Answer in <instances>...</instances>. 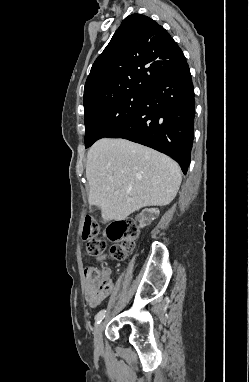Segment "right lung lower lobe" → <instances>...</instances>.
<instances>
[{"label": "right lung lower lobe", "instance_id": "98d812e1", "mask_svg": "<svg viewBox=\"0 0 249 382\" xmlns=\"http://www.w3.org/2000/svg\"><path fill=\"white\" fill-rule=\"evenodd\" d=\"M194 88L187 62L157 81L141 109L107 137L124 138L160 151L186 174L194 137Z\"/></svg>", "mask_w": 249, "mask_h": 382}]
</instances>
